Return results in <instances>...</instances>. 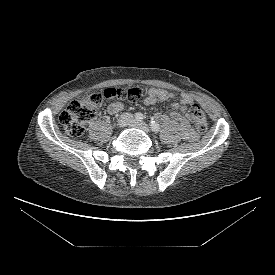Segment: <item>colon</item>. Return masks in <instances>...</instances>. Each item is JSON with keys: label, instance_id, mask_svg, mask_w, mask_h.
Instances as JSON below:
<instances>
[{"label": "colon", "instance_id": "1", "mask_svg": "<svg viewBox=\"0 0 275 275\" xmlns=\"http://www.w3.org/2000/svg\"><path fill=\"white\" fill-rule=\"evenodd\" d=\"M139 95L140 91L134 88H108L103 92L70 102L60 113L58 120L68 136L78 137L84 133L86 123L96 117L104 99L134 101ZM189 113L196 130L199 133L206 132L208 122L201 108L193 105Z\"/></svg>", "mask_w": 275, "mask_h": 275}]
</instances>
